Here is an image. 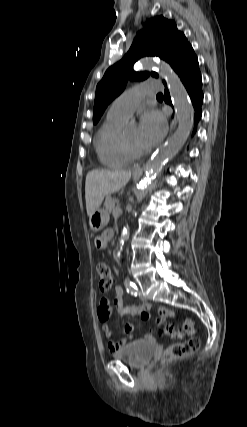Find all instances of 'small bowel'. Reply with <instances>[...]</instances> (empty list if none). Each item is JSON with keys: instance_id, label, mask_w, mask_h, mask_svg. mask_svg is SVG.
<instances>
[{"instance_id": "small-bowel-1", "label": "small bowel", "mask_w": 247, "mask_h": 427, "mask_svg": "<svg viewBox=\"0 0 247 427\" xmlns=\"http://www.w3.org/2000/svg\"><path fill=\"white\" fill-rule=\"evenodd\" d=\"M114 232L112 230L104 231L96 239V246L98 248H104L106 244L112 239ZM115 297L113 300V305L117 313L121 316H135L139 315L142 320L147 321L151 319L150 305L147 303L141 305L130 304L126 305L123 302V289L120 286L114 287ZM112 313V307L109 299L102 298L100 300V305L97 310V316L101 322L102 331L104 336L108 340V348L111 352H116L122 349L128 342V340L133 337V324L126 323L123 327L124 338L120 341H116L112 338V331L108 324L109 317ZM159 318L158 324H161L166 318L173 317L174 312L168 308H160L158 311ZM154 337L152 335H147L146 339L152 340Z\"/></svg>"}]
</instances>
